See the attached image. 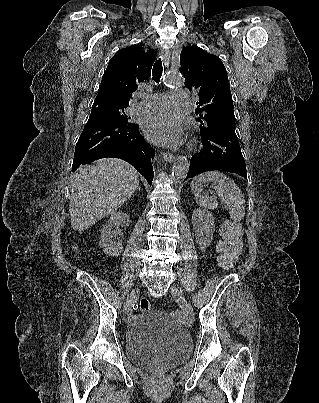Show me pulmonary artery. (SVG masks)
I'll list each match as a JSON object with an SVG mask.
<instances>
[{"label": "pulmonary artery", "instance_id": "e3ab8cb5", "mask_svg": "<svg viewBox=\"0 0 319 403\" xmlns=\"http://www.w3.org/2000/svg\"><path fill=\"white\" fill-rule=\"evenodd\" d=\"M187 101L188 93L185 90L176 89L166 94L146 95L133 106V109L141 112L163 111L170 106L184 107Z\"/></svg>", "mask_w": 319, "mask_h": 403}]
</instances>
